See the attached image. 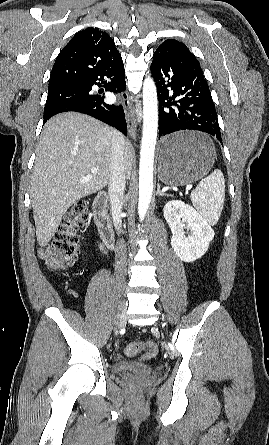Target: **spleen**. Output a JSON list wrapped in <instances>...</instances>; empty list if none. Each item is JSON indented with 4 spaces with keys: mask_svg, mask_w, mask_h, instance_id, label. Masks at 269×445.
I'll list each match as a JSON object with an SVG mask.
<instances>
[{
    "mask_svg": "<svg viewBox=\"0 0 269 445\" xmlns=\"http://www.w3.org/2000/svg\"><path fill=\"white\" fill-rule=\"evenodd\" d=\"M225 200V180L223 173L215 169L202 179L191 192V201L196 210L211 226L217 224Z\"/></svg>",
    "mask_w": 269,
    "mask_h": 445,
    "instance_id": "3e777b00",
    "label": "spleen"
}]
</instances>
